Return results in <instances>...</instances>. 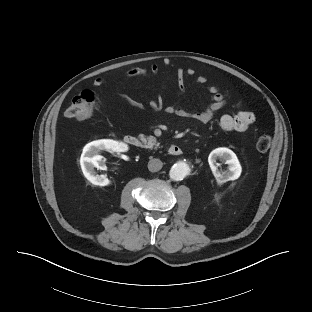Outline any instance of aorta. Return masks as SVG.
I'll use <instances>...</instances> for the list:
<instances>
[{"instance_id": "1", "label": "aorta", "mask_w": 312, "mask_h": 312, "mask_svg": "<svg viewBox=\"0 0 312 312\" xmlns=\"http://www.w3.org/2000/svg\"><path fill=\"white\" fill-rule=\"evenodd\" d=\"M189 171L190 168L188 164L180 161L172 166L169 175L171 179L181 181L188 175Z\"/></svg>"}]
</instances>
